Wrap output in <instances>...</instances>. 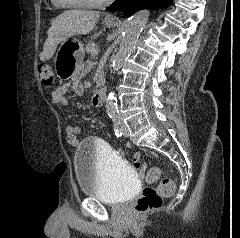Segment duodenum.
Masks as SVG:
<instances>
[{
	"instance_id": "1",
	"label": "duodenum",
	"mask_w": 240,
	"mask_h": 238,
	"mask_svg": "<svg viewBox=\"0 0 240 238\" xmlns=\"http://www.w3.org/2000/svg\"><path fill=\"white\" fill-rule=\"evenodd\" d=\"M105 96H106V87L101 85L94 92L93 97H92V103L95 106H101L105 100Z\"/></svg>"
}]
</instances>
